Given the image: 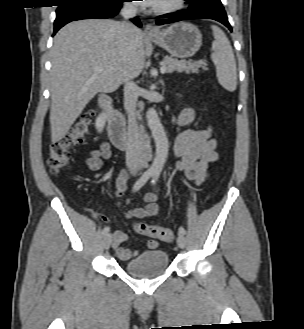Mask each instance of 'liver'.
<instances>
[{"label":"liver","mask_w":304,"mask_h":329,"mask_svg":"<svg viewBox=\"0 0 304 329\" xmlns=\"http://www.w3.org/2000/svg\"><path fill=\"white\" fill-rule=\"evenodd\" d=\"M51 64V141L56 143L98 92L115 91L125 75L134 78L142 72L143 33L135 27L124 40L116 21L71 22L54 37Z\"/></svg>","instance_id":"obj_1"}]
</instances>
